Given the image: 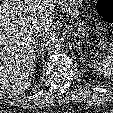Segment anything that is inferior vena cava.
<instances>
[{
	"instance_id": "1",
	"label": "inferior vena cava",
	"mask_w": 113,
	"mask_h": 113,
	"mask_svg": "<svg viewBox=\"0 0 113 113\" xmlns=\"http://www.w3.org/2000/svg\"><path fill=\"white\" fill-rule=\"evenodd\" d=\"M41 32H42V30L41 29H38V32L37 33L40 34Z\"/></svg>"
}]
</instances>
